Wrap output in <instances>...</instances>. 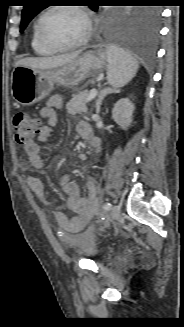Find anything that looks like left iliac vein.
Listing matches in <instances>:
<instances>
[{
  "instance_id": "1",
  "label": "left iliac vein",
  "mask_w": 184,
  "mask_h": 327,
  "mask_svg": "<svg viewBox=\"0 0 184 327\" xmlns=\"http://www.w3.org/2000/svg\"><path fill=\"white\" fill-rule=\"evenodd\" d=\"M121 208L119 205H114L112 209V220H117L120 217Z\"/></svg>"
}]
</instances>
